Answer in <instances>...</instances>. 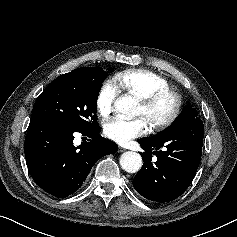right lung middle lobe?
I'll return each instance as SVG.
<instances>
[{"mask_svg": "<svg viewBox=\"0 0 237 237\" xmlns=\"http://www.w3.org/2000/svg\"><path fill=\"white\" fill-rule=\"evenodd\" d=\"M106 77L102 67L78 68L57 77L37 98L31 120L59 123L77 130L97 126V99Z\"/></svg>", "mask_w": 237, "mask_h": 237, "instance_id": "obj_1", "label": "right lung middle lobe"}]
</instances>
